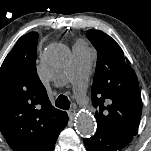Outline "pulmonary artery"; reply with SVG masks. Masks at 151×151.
I'll return each mask as SVG.
<instances>
[{
	"label": "pulmonary artery",
	"mask_w": 151,
	"mask_h": 151,
	"mask_svg": "<svg viewBox=\"0 0 151 151\" xmlns=\"http://www.w3.org/2000/svg\"><path fill=\"white\" fill-rule=\"evenodd\" d=\"M94 58L95 51L92 48L84 44L73 46V64L67 78L73 84L78 100L82 102L85 101V90Z\"/></svg>",
	"instance_id": "1"
}]
</instances>
